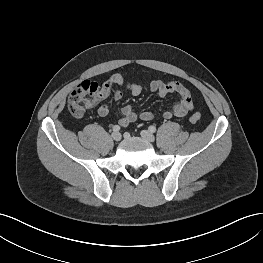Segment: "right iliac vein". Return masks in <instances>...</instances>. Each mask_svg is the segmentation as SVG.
<instances>
[{
    "instance_id": "63e3f726",
    "label": "right iliac vein",
    "mask_w": 263,
    "mask_h": 263,
    "mask_svg": "<svg viewBox=\"0 0 263 263\" xmlns=\"http://www.w3.org/2000/svg\"><path fill=\"white\" fill-rule=\"evenodd\" d=\"M121 134L119 132H113L112 133V138L115 140V141H120L121 140Z\"/></svg>"
}]
</instances>
